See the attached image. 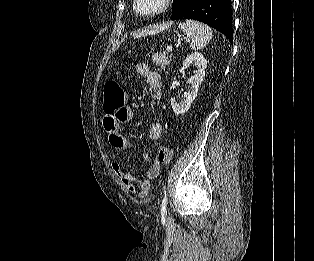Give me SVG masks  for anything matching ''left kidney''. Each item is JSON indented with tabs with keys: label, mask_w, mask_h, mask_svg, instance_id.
Listing matches in <instances>:
<instances>
[{
	"label": "left kidney",
	"mask_w": 314,
	"mask_h": 261,
	"mask_svg": "<svg viewBox=\"0 0 314 261\" xmlns=\"http://www.w3.org/2000/svg\"><path fill=\"white\" fill-rule=\"evenodd\" d=\"M190 65L196 67L194 75L187 81L191 85L190 90L184 93V99L179 103L175 100V98H171V106L176 115L187 112L191 107L192 102L195 100L198 94L199 86L205 77L207 60L201 53L194 52L183 61V67L188 68Z\"/></svg>",
	"instance_id": "1"
}]
</instances>
